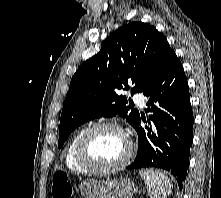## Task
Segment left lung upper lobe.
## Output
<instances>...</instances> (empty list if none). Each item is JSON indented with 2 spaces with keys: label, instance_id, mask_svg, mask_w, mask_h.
I'll return each instance as SVG.
<instances>
[{
  "label": "left lung upper lobe",
  "instance_id": "1",
  "mask_svg": "<svg viewBox=\"0 0 221 198\" xmlns=\"http://www.w3.org/2000/svg\"><path fill=\"white\" fill-rule=\"evenodd\" d=\"M172 53L166 38L147 23L133 22L117 29L72 77L60 118L58 147L76 127L94 118L119 114L134 127L139 112H130L126 97L117 91L128 90L132 84V95L143 93Z\"/></svg>",
  "mask_w": 221,
  "mask_h": 198
}]
</instances>
